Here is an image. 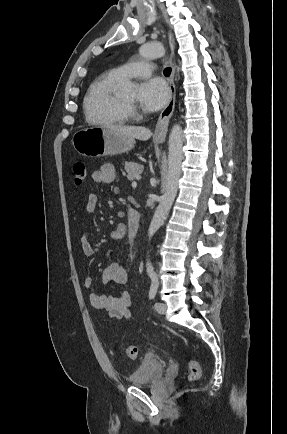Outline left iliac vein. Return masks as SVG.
<instances>
[{"mask_svg": "<svg viewBox=\"0 0 287 434\" xmlns=\"http://www.w3.org/2000/svg\"><path fill=\"white\" fill-rule=\"evenodd\" d=\"M155 309H156V311H157L159 314H165V313H166L167 306H166V304L163 303V302H157V303L155 304Z\"/></svg>", "mask_w": 287, "mask_h": 434, "instance_id": "1", "label": "left iliac vein"}]
</instances>
